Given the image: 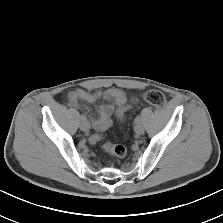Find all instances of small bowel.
I'll return each mask as SVG.
<instances>
[{"label":"small bowel","instance_id":"small-bowel-1","mask_svg":"<svg viewBox=\"0 0 223 223\" xmlns=\"http://www.w3.org/2000/svg\"><path fill=\"white\" fill-rule=\"evenodd\" d=\"M67 98L69 104L72 107L85 110V113L89 118L93 129L98 132H103L111 126L112 121L110 116L113 113L115 106L122 105L126 101V96L124 92L116 88L97 90L94 92H88L83 89H77L69 92ZM100 99L108 100L110 104L98 106L97 107L98 117H93L84 108L83 103L96 102Z\"/></svg>","mask_w":223,"mask_h":223}]
</instances>
